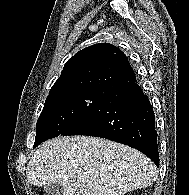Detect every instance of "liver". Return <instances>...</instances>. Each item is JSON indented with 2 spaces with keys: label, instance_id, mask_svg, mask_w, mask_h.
<instances>
[{
  "label": "liver",
  "instance_id": "6515ba94",
  "mask_svg": "<svg viewBox=\"0 0 189 195\" xmlns=\"http://www.w3.org/2000/svg\"><path fill=\"white\" fill-rule=\"evenodd\" d=\"M26 175L35 186L60 184L63 195H124L152 185L157 168L129 146L72 136L45 142L30 158Z\"/></svg>",
  "mask_w": 189,
  "mask_h": 195
}]
</instances>
